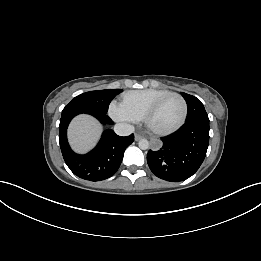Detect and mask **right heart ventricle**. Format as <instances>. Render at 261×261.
Listing matches in <instances>:
<instances>
[{"label": "right heart ventricle", "mask_w": 261, "mask_h": 261, "mask_svg": "<svg viewBox=\"0 0 261 261\" xmlns=\"http://www.w3.org/2000/svg\"><path fill=\"white\" fill-rule=\"evenodd\" d=\"M168 93V90L153 88L129 91L123 94L120 105L134 121H138L157 99Z\"/></svg>", "instance_id": "1"}]
</instances>
